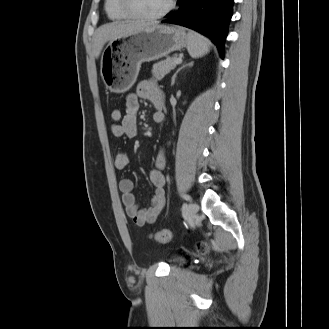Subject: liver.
Masks as SVG:
<instances>
[{
	"label": "liver",
	"instance_id": "6515ba94",
	"mask_svg": "<svg viewBox=\"0 0 329 329\" xmlns=\"http://www.w3.org/2000/svg\"><path fill=\"white\" fill-rule=\"evenodd\" d=\"M156 25L135 23V22H113L99 27L94 36L93 52L96 58L99 57L104 45L117 37L126 36L139 31L149 29Z\"/></svg>",
	"mask_w": 329,
	"mask_h": 329
}]
</instances>
